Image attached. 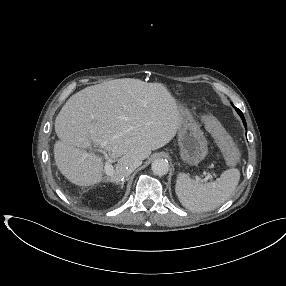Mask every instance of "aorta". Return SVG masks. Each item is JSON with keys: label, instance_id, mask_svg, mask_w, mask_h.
Instances as JSON below:
<instances>
[{"label": "aorta", "instance_id": "obj_1", "mask_svg": "<svg viewBox=\"0 0 286 286\" xmlns=\"http://www.w3.org/2000/svg\"><path fill=\"white\" fill-rule=\"evenodd\" d=\"M151 169L155 175L163 176L169 171V163L166 159L157 158L152 162Z\"/></svg>", "mask_w": 286, "mask_h": 286}]
</instances>
